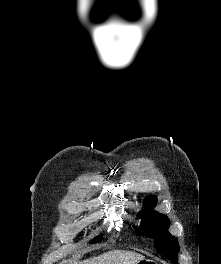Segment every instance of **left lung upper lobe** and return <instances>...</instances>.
<instances>
[{"label": "left lung upper lobe", "mask_w": 221, "mask_h": 264, "mask_svg": "<svg viewBox=\"0 0 221 264\" xmlns=\"http://www.w3.org/2000/svg\"><path fill=\"white\" fill-rule=\"evenodd\" d=\"M157 204V197H146L144 207L152 209ZM142 218V227L136 229L141 234L154 238L156 250L177 264V254L179 251L178 240L168 232L170 221L166 215L156 211L142 210L138 213Z\"/></svg>", "instance_id": "obj_1"}]
</instances>
